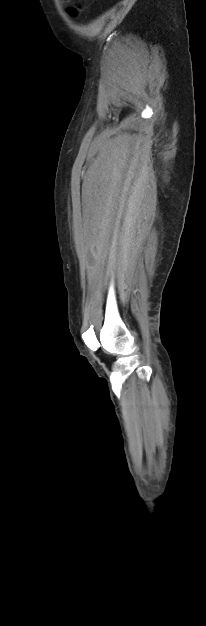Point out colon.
Wrapping results in <instances>:
<instances>
[{
    "label": "colon",
    "instance_id": "5ec220e1",
    "mask_svg": "<svg viewBox=\"0 0 206 626\" xmlns=\"http://www.w3.org/2000/svg\"><path fill=\"white\" fill-rule=\"evenodd\" d=\"M71 12H72L73 14H76V12H77V11L74 9V10H72Z\"/></svg>",
    "mask_w": 206,
    "mask_h": 626
}]
</instances>
